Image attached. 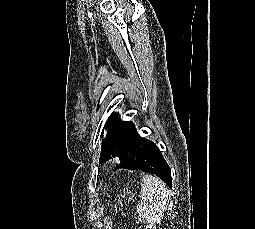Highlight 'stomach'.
<instances>
[{
  "instance_id": "stomach-1",
  "label": "stomach",
  "mask_w": 255,
  "mask_h": 229,
  "mask_svg": "<svg viewBox=\"0 0 255 229\" xmlns=\"http://www.w3.org/2000/svg\"><path fill=\"white\" fill-rule=\"evenodd\" d=\"M130 192H128V190L127 191H125L124 190V192H123V197L126 195V194H129Z\"/></svg>"
}]
</instances>
